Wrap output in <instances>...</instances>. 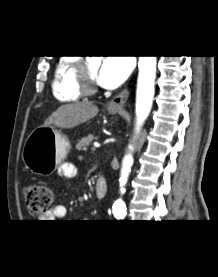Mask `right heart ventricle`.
<instances>
[{"instance_id": "1", "label": "right heart ventricle", "mask_w": 218, "mask_h": 277, "mask_svg": "<svg viewBox=\"0 0 218 277\" xmlns=\"http://www.w3.org/2000/svg\"><path fill=\"white\" fill-rule=\"evenodd\" d=\"M79 61L75 56H64L57 61L51 83L52 93L57 100L75 102L81 98L82 93L77 84Z\"/></svg>"}]
</instances>
